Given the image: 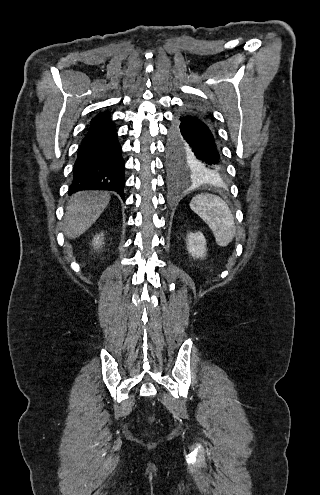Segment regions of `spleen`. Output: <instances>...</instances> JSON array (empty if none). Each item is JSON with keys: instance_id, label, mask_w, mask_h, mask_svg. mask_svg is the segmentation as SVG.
I'll return each instance as SVG.
<instances>
[{"instance_id": "1", "label": "spleen", "mask_w": 320, "mask_h": 495, "mask_svg": "<svg viewBox=\"0 0 320 495\" xmlns=\"http://www.w3.org/2000/svg\"><path fill=\"white\" fill-rule=\"evenodd\" d=\"M190 207L212 230L217 245L226 247L234 238V216L217 195L202 193L193 197Z\"/></svg>"}]
</instances>
